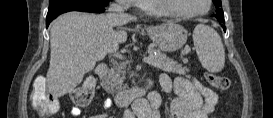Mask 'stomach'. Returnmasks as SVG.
<instances>
[{"label": "stomach", "instance_id": "obj_1", "mask_svg": "<svg viewBox=\"0 0 273 118\" xmlns=\"http://www.w3.org/2000/svg\"><path fill=\"white\" fill-rule=\"evenodd\" d=\"M147 33L154 43L166 52L178 50L187 41V30L174 22L150 26Z\"/></svg>", "mask_w": 273, "mask_h": 118}]
</instances>
